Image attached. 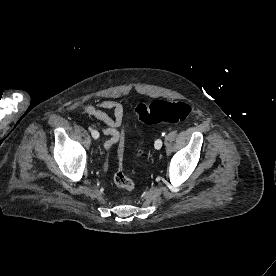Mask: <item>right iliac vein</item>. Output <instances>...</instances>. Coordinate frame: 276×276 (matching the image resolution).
I'll list each match as a JSON object with an SVG mask.
<instances>
[{
	"label": "right iliac vein",
	"instance_id": "63e3f726",
	"mask_svg": "<svg viewBox=\"0 0 276 276\" xmlns=\"http://www.w3.org/2000/svg\"><path fill=\"white\" fill-rule=\"evenodd\" d=\"M91 135H92V137H93L94 139H97V138H98L99 133H98V131H97V130H92Z\"/></svg>",
	"mask_w": 276,
	"mask_h": 276
}]
</instances>
